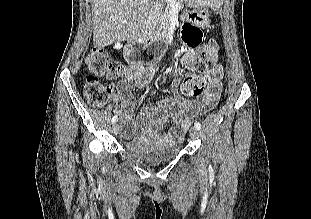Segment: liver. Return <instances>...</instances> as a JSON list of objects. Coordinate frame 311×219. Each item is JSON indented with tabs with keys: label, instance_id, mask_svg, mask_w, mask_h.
<instances>
[{
	"label": "liver",
	"instance_id": "1",
	"mask_svg": "<svg viewBox=\"0 0 311 219\" xmlns=\"http://www.w3.org/2000/svg\"><path fill=\"white\" fill-rule=\"evenodd\" d=\"M152 0H91L93 43L98 48L136 40L147 22ZM210 0H196L200 7Z\"/></svg>",
	"mask_w": 311,
	"mask_h": 219
}]
</instances>
